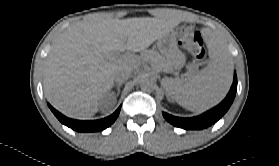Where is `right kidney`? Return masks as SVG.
<instances>
[{
	"label": "right kidney",
	"instance_id": "obj_1",
	"mask_svg": "<svg viewBox=\"0 0 279 166\" xmlns=\"http://www.w3.org/2000/svg\"><path fill=\"white\" fill-rule=\"evenodd\" d=\"M115 100H116L115 97H113L112 104L115 103Z\"/></svg>",
	"mask_w": 279,
	"mask_h": 166
}]
</instances>
